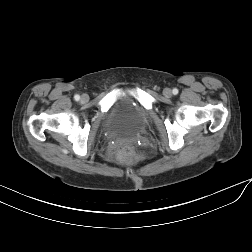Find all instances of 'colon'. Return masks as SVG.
Returning <instances> with one entry per match:
<instances>
[{
	"mask_svg": "<svg viewBox=\"0 0 252 252\" xmlns=\"http://www.w3.org/2000/svg\"><path fill=\"white\" fill-rule=\"evenodd\" d=\"M117 157L123 162H136L140 154L133 145L123 144L118 148Z\"/></svg>",
	"mask_w": 252,
	"mask_h": 252,
	"instance_id": "colon-1",
	"label": "colon"
}]
</instances>
